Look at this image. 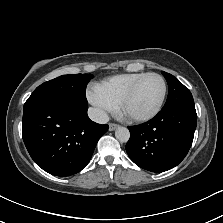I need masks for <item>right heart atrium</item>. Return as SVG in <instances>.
Wrapping results in <instances>:
<instances>
[{"label": "right heart atrium", "instance_id": "obj_1", "mask_svg": "<svg viewBox=\"0 0 223 223\" xmlns=\"http://www.w3.org/2000/svg\"><path fill=\"white\" fill-rule=\"evenodd\" d=\"M88 99L94 106L99 118H104L108 113H115L117 111V104L111 101L97 85H93Z\"/></svg>", "mask_w": 223, "mask_h": 223}]
</instances>
